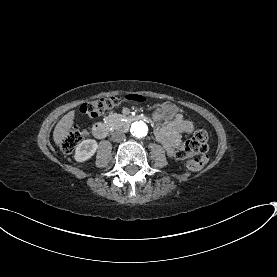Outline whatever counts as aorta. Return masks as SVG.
Listing matches in <instances>:
<instances>
[{"label": "aorta", "mask_w": 277, "mask_h": 277, "mask_svg": "<svg viewBox=\"0 0 277 277\" xmlns=\"http://www.w3.org/2000/svg\"><path fill=\"white\" fill-rule=\"evenodd\" d=\"M130 132L137 138H142L148 133V126L143 121H136L131 125Z\"/></svg>", "instance_id": "1"}]
</instances>
